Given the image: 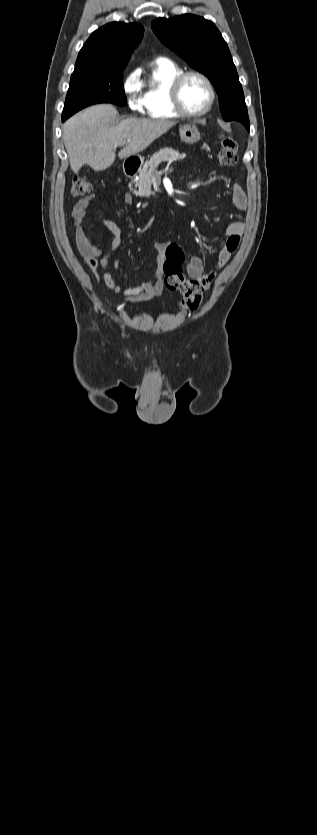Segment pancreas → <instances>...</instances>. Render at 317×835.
<instances>
[{"mask_svg":"<svg viewBox=\"0 0 317 835\" xmlns=\"http://www.w3.org/2000/svg\"><path fill=\"white\" fill-rule=\"evenodd\" d=\"M185 157L186 154H180L172 148H164L153 154L150 160H148L142 169H140L139 176L134 180L135 187H138V190H134L133 193L141 197L154 195V192L151 191V179L157 174L156 169L159 164L165 161L171 163L176 160H182Z\"/></svg>","mask_w":317,"mask_h":835,"instance_id":"pancreas-1","label":"pancreas"}]
</instances>
